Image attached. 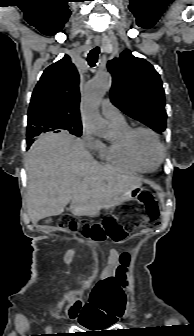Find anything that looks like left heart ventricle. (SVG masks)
I'll return each mask as SVG.
<instances>
[{"mask_svg":"<svg viewBox=\"0 0 194 336\" xmlns=\"http://www.w3.org/2000/svg\"><path fill=\"white\" fill-rule=\"evenodd\" d=\"M136 147L141 158L155 165L160 159V150L154 138L145 132H139L136 135Z\"/></svg>","mask_w":194,"mask_h":336,"instance_id":"left-heart-ventricle-1","label":"left heart ventricle"}]
</instances>
